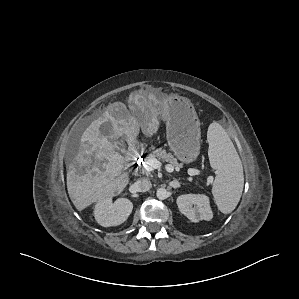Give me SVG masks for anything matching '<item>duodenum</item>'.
Instances as JSON below:
<instances>
[{
    "mask_svg": "<svg viewBox=\"0 0 299 299\" xmlns=\"http://www.w3.org/2000/svg\"><path fill=\"white\" fill-rule=\"evenodd\" d=\"M138 156H139L138 150L135 147H131L129 149L127 159H126L127 166L133 165L137 160Z\"/></svg>",
    "mask_w": 299,
    "mask_h": 299,
    "instance_id": "duodenum-1",
    "label": "duodenum"
}]
</instances>
